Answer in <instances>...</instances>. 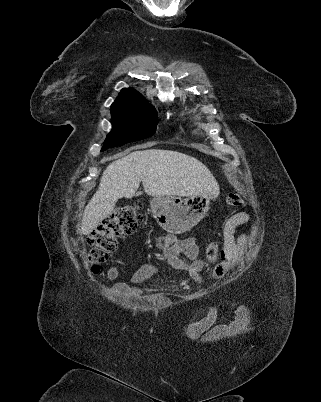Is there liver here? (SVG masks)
Segmentation results:
<instances>
[{"mask_svg": "<svg viewBox=\"0 0 321 402\" xmlns=\"http://www.w3.org/2000/svg\"><path fill=\"white\" fill-rule=\"evenodd\" d=\"M140 182L151 196L219 194V185L198 159L171 150H136L108 165L98 190L85 207L81 233L90 234L109 216L120 198L141 195Z\"/></svg>", "mask_w": 321, "mask_h": 402, "instance_id": "obj_1", "label": "liver"}]
</instances>
